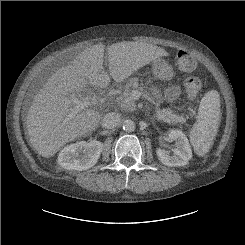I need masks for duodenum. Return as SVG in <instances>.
Returning <instances> with one entry per match:
<instances>
[{"label": "duodenum", "instance_id": "410a0bca", "mask_svg": "<svg viewBox=\"0 0 245 245\" xmlns=\"http://www.w3.org/2000/svg\"><path fill=\"white\" fill-rule=\"evenodd\" d=\"M107 109H111V107L110 106H107Z\"/></svg>", "mask_w": 245, "mask_h": 245}]
</instances>
